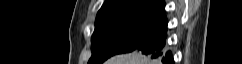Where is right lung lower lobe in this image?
<instances>
[{"label":"right lung lower lobe","instance_id":"right-lung-lower-lobe-1","mask_svg":"<svg viewBox=\"0 0 242 64\" xmlns=\"http://www.w3.org/2000/svg\"><path fill=\"white\" fill-rule=\"evenodd\" d=\"M167 24L168 21L166 19L163 25L144 41L137 50L151 56L152 59H160L163 64H174L171 51H166Z\"/></svg>","mask_w":242,"mask_h":64}]
</instances>
